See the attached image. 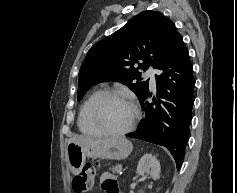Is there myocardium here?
<instances>
[{"label": "myocardium", "mask_w": 237, "mask_h": 193, "mask_svg": "<svg viewBox=\"0 0 237 193\" xmlns=\"http://www.w3.org/2000/svg\"><path fill=\"white\" fill-rule=\"evenodd\" d=\"M110 98H116V99H121L126 102H128L132 109H133V116L130 121V123L123 129L118 130V131H110L102 128L97 121L96 115H97V110L101 103L107 99ZM140 116V107L137 103V101L131 97L128 96L124 93L117 92V91H104L100 93L95 100L92 102L90 109H89V121L93 128L102 136H108V137H118L127 134L130 132L136 125L138 119Z\"/></svg>", "instance_id": "f54148a6"}]
</instances>
